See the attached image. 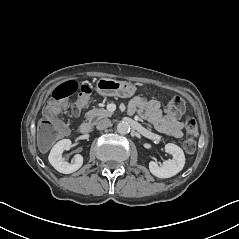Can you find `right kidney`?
Instances as JSON below:
<instances>
[{
	"label": "right kidney",
	"instance_id": "right-kidney-1",
	"mask_svg": "<svg viewBox=\"0 0 239 239\" xmlns=\"http://www.w3.org/2000/svg\"><path fill=\"white\" fill-rule=\"evenodd\" d=\"M72 142L70 139H63L57 142L49 154L48 160L50 164L60 173L71 174L79 170L83 164V158L80 155L75 156L74 162L69 164L62 156V152L70 150Z\"/></svg>",
	"mask_w": 239,
	"mask_h": 239
}]
</instances>
